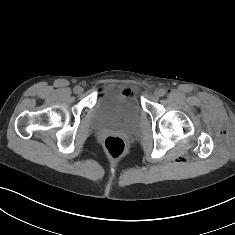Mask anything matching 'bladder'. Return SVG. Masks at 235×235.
<instances>
[{
	"label": "bladder",
	"mask_w": 235,
	"mask_h": 235,
	"mask_svg": "<svg viewBox=\"0 0 235 235\" xmlns=\"http://www.w3.org/2000/svg\"><path fill=\"white\" fill-rule=\"evenodd\" d=\"M142 109L135 93L128 88L109 87L101 93L92 108V125L96 129H135Z\"/></svg>",
	"instance_id": "obj_1"
}]
</instances>
